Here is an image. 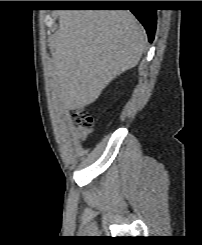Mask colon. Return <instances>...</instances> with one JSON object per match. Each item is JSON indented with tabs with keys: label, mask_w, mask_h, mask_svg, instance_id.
I'll use <instances>...</instances> for the list:
<instances>
[{
	"label": "colon",
	"mask_w": 202,
	"mask_h": 245,
	"mask_svg": "<svg viewBox=\"0 0 202 245\" xmlns=\"http://www.w3.org/2000/svg\"><path fill=\"white\" fill-rule=\"evenodd\" d=\"M72 117L78 129V134L83 136L92 126L91 115L80 108H75L72 110Z\"/></svg>",
	"instance_id": "colon-1"
}]
</instances>
